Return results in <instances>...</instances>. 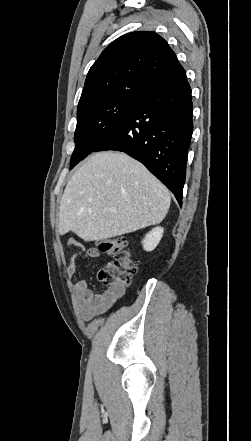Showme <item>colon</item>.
Returning <instances> with one entry per match:
<instances>
[{"label": "colon", "instance_id": "5ec220e1", "mask_svg": "<svg viewBox=\"0 0 251 441\" xmlns=\"http://www.w3.org/2000/svg\"><path fill=\"white\" fill-rule=\"evenodd\" d=\"M96 246L101 252L112 254L115 258L100 270V281L116 291H124L137 271L127 248L126 239L123 237L103 239L97 241Z\"/></svg>", "mask_w": 251, "mask_h": 441}]
</instances>
